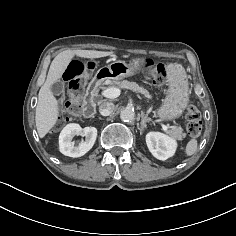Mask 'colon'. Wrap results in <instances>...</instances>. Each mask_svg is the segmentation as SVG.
<instances>
[{"label":"colon","instance_id":"1","mask_svg":"<svg viewBox=\"0 0 236 236\" xmlns=\"http://www.w3.org/2000/svg\"><path fill=\"white\" fill-rule=\"evenodd\" d=\"M148 74L152 77L153 83L157 87L165 84L167 68L164 64H154L152 61L146 62ZM91 70V62L74 59L68 63L64 71V78L67 83L66 90V114L77 115L81 110L82 91L86 84V76ZM187 133L192 138L201 135V114L199 110L191 105L186 110Z\"/></svg>","mask_w":236,"mask_h":236}]
</instances>
